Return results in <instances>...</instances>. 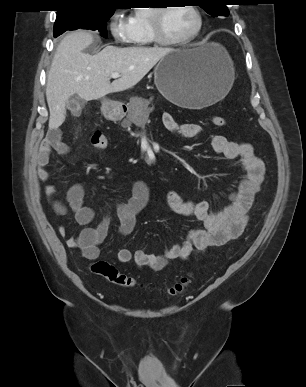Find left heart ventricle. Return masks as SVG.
Masks as SVG:
<instances>
[{"instance_id":"obj_1","label":"left heart ventricle","mask_w":306,"mask_h":387,"mask_svg":"<svg viewBox=\"0 0 306 387\" xmlns=\"http://www.w3.org/2000/svg\"><path fill=\"white\" fill-rule=\"evenodd\" d=\"M196 26L193 12L186 6L169 7L162 18L163 33L170 39L188 36Z\"/></svg>"}]
</instances>
